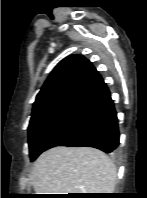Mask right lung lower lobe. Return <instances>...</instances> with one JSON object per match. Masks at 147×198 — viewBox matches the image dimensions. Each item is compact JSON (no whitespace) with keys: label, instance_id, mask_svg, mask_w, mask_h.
I'll return each mask as SVG.
<instances>
[{"label":"right lung lower lobe","instance_id":"obj_1","mask_svg":"<svg viewBox=\"0 0 147 198\" xmlns=\"http://www.w3.org/2000/svg\"><path fill=\"white\" fill-rule=\"evenodd\" d=\"M119 145L117 114L104 82L73 105L40 144V153L55 146H87L113 153Z\"/></svg>","mask_w":147,"mask_h":198}]
</instances>
